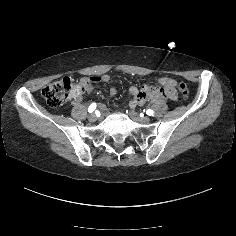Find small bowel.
<instances>
[{
    "mask_svg": "<svg viewBox=\"0 0 236 236\" xmlns=\"http://www.w3.org/2000/svg\"><path fill=\"white\" fill-rule=\"evenodd\" d=\"M95 80H98V81H103V82H107L108 80H109V76L108 75H103V76H101V77H98V78H94ZM162 81H163V83H171L172 81L170 80V79H168V78H163L162 79ZM92 89V87H91V85L87 88V90L88 91H90ZM109 92H110V94L111 95H114L115 93H116V90L114 89V88H111L110 90H109ZM138 91H137V89L136 88H133L132 89V93L135 95L136 93H137ZM81 99H82V97L81 96H79V97H77L76 99H75V104H79L80 102H81Z\"/></svg>",
    "mask_w": 236,
    "mask_h": 236,
    "instance_id": "obj_1",
    "label": "small bowel"
}]
</instances>
